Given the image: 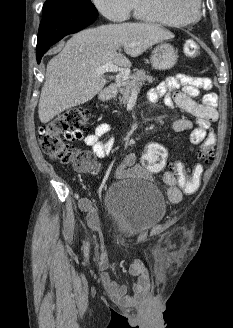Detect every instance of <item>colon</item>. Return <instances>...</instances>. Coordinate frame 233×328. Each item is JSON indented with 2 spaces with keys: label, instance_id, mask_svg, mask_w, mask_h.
<instances>
[{
  "label": "colon",
  "instance_id": "colon-1",
  "mask_svg": "<svg viewBox=\"0 0 233 328\" xmlns=\"http://www.w3.org/2000/svg\"><path fill=\"white\" fill-rule=\"evenodd\" d=\"M187 57L195 58L200 54V47L195 41H187L184 45ZM91 113L86 108H74L53 118L39 129V142L43 152L60 162L72 164L77 169L87 167L92 159L89 151L78 150L71 141L79 139L87 130ZM215 135L209 134L198 152V163L187 170L181 162L172 166L180 189L186 194L198 190L204 167L214 159ZM167 161L166 150L157 143L145 146L142 155V166L149 172L163 169Z\"/></svg>",
  "mask_w": 233,
  "mask_h": 328
}]
</instances>
